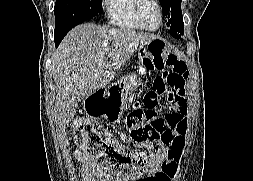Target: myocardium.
I'll return each mask as SVG.
<instances>
[{
	"instance_id": "1",
	"label": "myocardium",
	"mask_w": 253,
	"mask_h": 181,
	"mask_svg": "<svg viewBox=\"0 0 253 181\" xmlns=\"http://www.w3.org/2000/svg\"><path fill=\"white\" fill-rule=\"evenodd\" d=\"M146 1L153 2L155 4V6L157 7V9H158L160 20H159L158 26L155 27V28H149L143 22V19H142V16H141V9H142L143 4ZM133 14H134V18H135L137 24L143 30H146V31H149V32H155V31L159 30L163 25L164 11H163V7H162L159 0H135V4H134V7H133Z\"/></svg>"
}]
</instances>
